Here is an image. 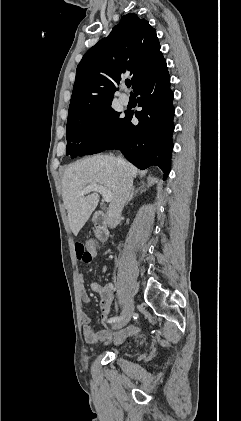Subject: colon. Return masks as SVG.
Masks as SVG:
<instances>
[{
    "label": "colon",
    "instance_id": "obj_1",
    "mask_svg": "<svg viewBox=\"0 0 241 421\" xmlns=\"http://www.w3.org/2000/svg\"><path fill=\"white\" fill-rule=\"evenodd\" d=\"M75 252L80 261L89 264L92 262L94 257L95 244L93 241H87L85 243L78 242L75 244Z\"/></svg>",
    "mask_w": 241,
    "mask_h": 421
}]
</instances>
